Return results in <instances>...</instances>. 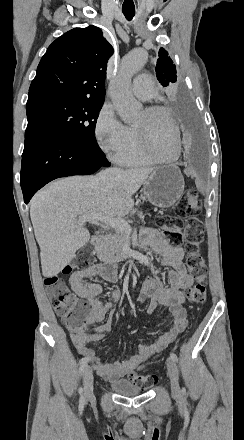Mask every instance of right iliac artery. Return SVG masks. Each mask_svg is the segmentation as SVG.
I'll return each mask as SVG.
<instances>
[{"instance_id":"1","label":"right iliac artery","mask_w":244,"mask_h":440,"mask_svg":"<svg viewBox=\"0 0 244 440\" xmlns=\"http://www.w3.org/2000/svg\"><path fill=\"white\" fill-rule=\"evenodd\" d=\"M88 360H89L88 357H84V358L82 359V361H81V365H80V368H79L80 376L83 374L84 370L86 369ZM79 393L81 394V397H80V406H84L85 399H84V397H83V388H82V387L79 388Z\"/></svg>"}]
</instances>
